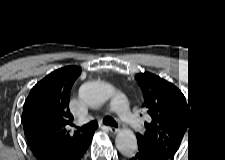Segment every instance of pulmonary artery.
I'll return each mask as SVG.
<instances>
[{"label": "pulmonary artery", "mask_w": 225, "mask_h": 160, "mask_svg": "<svg viewBox=\"0 0 225 160\" xmlns=\"http://www.w3.org/2000/svg\"><path fill=\"white\" fill-rule=\"evenodd\" d=\"M111 109L117 111L121 118L135 131L143 132V125L140 118L128 111V101L123 94L114 97Z\"/></svg>", "instance_id": "pulmonary-artery-1"}]
</instances>
